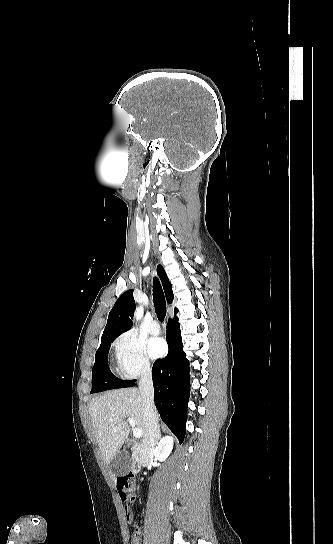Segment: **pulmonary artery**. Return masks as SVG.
Segmentation results:
<instances>
[{
  "instance_id": "obj_1",
  "label": "pulmonary artery",
  "mask_w": 333,
  "mask_h": 544,
  "mask_svg": "<svg viewBox=\"0 0 333 544\" xmlns=\"http://www.w3.org/2000/svg\"><path fill=\"white\" fill-rule=\"evenodd\" d=\"M150 333L152 335H158L160 333V324L157 320H153L150 323Z\"/></svg>"
}]
</instances>
